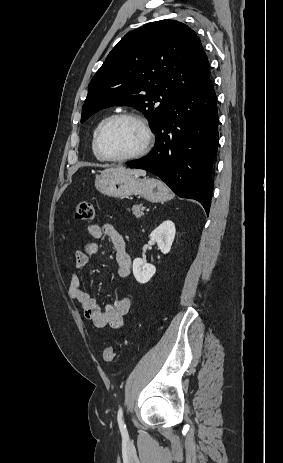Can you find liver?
<instances>
[{
	"label": "liver",
	"instance_id": "liver-1",
	"mask_svg": "<svg viewBox=\"0 0 283 463\" xmlns=\"http://www.w3.org/2000/svg\"><path fill=\"white\" fill-rule=\"evenodd\" d=\"M103 172H117L122 174H132L136 176H145L146 172L144 170L139 169H126L124 167H116V168H109L105 169Z\"/></svg>",
	"mask_w": 283,
	"mask_h": 463
}]
</instances>
